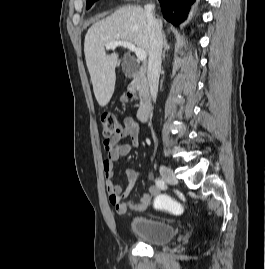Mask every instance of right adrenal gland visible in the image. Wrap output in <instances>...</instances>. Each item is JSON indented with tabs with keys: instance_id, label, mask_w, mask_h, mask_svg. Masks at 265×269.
Listing matches in <instances>:
<instances>
[{
	"instance_id": "2a0ac1e0",
	"label": "right adrenal gland",
	"mask_w": 265,
	"mask_h": 269,
	"mask_svg": "<svg viewBox=\"0 0 265 269\" xmlns=\"http://www.w3.org/2000/svg\"><path fill=\"white\" fill-rule=\"evenodd\" d=\"M163 38H164V50H163L162 59L164 60L166 56V51L169 50L170 48V44H168L165 34L163 35Z\"/></svg>"
}]
</instances>
